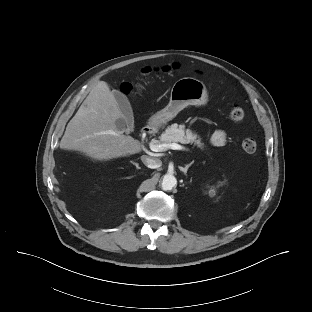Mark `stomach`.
<instances>
[{
  "label": "stomach",
  "mask_w": 312,
  "mask_h": 312,
  "mask_svg": "<svg viewBox=\"0 0 312 312\" xmlns=\"http://www.w3.org/2000/svg\"><path fill=\"white\" fill-rule=\"evenodd\" d=\"M208 102L206 86L198 79L185 77L177 80L170 92V101L149 120L150 126L158 128L189 105L204 106Z\"/></svg>",
  "instance_id": "obj_1"
}]
</instances>
